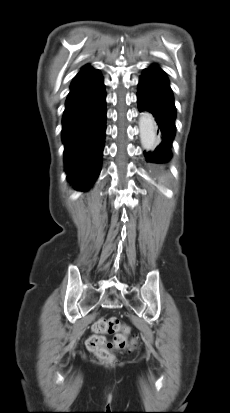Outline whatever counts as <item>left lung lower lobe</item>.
<instances>
[{
    "instance_id": "obj_1",
    "label": "left lung lower lobe",
    "mask_w": 230,
    "mask_h": 413,
    "mask_svg": "<svg viewBox=\"0 0 230 413\" xmlns=\"http://www.w3.org/2000/svg\"><path fill=\"white\" fill-rule=\"evenodd\" d=\"M139 111L153 114L162 133V141L155 150L145 152L147 162L166 163L171 157L175 135L176 108L174 97L165 72L156 65L144 70L140 76L137 92Z\"/></svg>"
}]
</instances>
